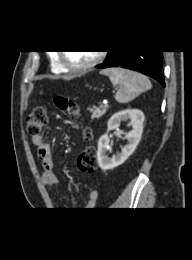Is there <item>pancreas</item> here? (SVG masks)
<instances>
[{
  "label": "pancreas",
  "mask_w": 192,
  "mask_h": 260,
  "mask_svg": "<svg viewBox=\"0 0 192 260\" xmlns=\"http://www.w3.org/2000/svg\"><path fill=\"white\" fill-rule=\"evenodd\" d=\"M89 111L92 112L91 119H99L106 113L107 107L100 105L99 107L89 108Z\"/></svg>",
  "instance_id": "cf45deb5"
}]
</instances>
